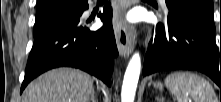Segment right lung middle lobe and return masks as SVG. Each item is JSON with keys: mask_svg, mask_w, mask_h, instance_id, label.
Wrapping results in <instances>:
<instances>
[{"mask_svg": "<svg viewBox=\"0 0 221 102\" xmlns=\"http://www.w3.org/2000/svg\"><path fill=\"white\" fill-rule=\"evenodd\" d=\"M80 2V0H52L48 5L36 8L33 35L44 30L60 18L76 13Z\"/></svg>", "mask_w": 221, "mask_h": 102, "instance_id": "right-lung-middle-lobe-1", "label": "right lung middle lobe"}]
</instances>
